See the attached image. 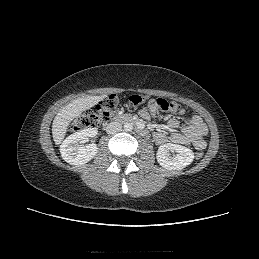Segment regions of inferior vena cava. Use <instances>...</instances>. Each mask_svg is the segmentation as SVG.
I'll use <instances>...</instances> for the list:
<instances>
[{
	"instance_id": "obj_1",
	"label": "inferior vena cava",
	"mask_w": 259,
	"mask_h": 259,
	"mask_svg": "<svg viewBox=\"0 0 259 259\" xmlns=\"http://www.w3.org/2000/svg\"><path fill=\"white\" fill-rule=\"evenodd\" d=\"M121 130H122V125H121V123H119L117 121L110 122L106 126L107 134H116V133L120 132Z\"/></svg>"
}]
</instances>
